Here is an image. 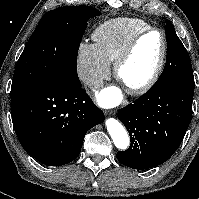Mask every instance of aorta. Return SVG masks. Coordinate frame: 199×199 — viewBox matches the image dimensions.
<instances>
[{"instance_id": "aorta-1", "label": "aorta", "mask_w": 199, "mask_h": 199, "mask_svg": "<svg viewBox=\"0 0 199 199\" xmlns=\"http://www.w3.org/2000/svg\"><path fill=\"white\" fill-rule=\"evenodd\" d=\"M107 130L115 144L120 150H126L129 147V136L123 125L114 118L106 120Z\"/></svg>"}]
</instances>
